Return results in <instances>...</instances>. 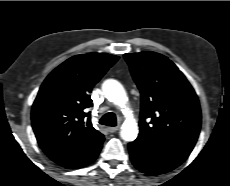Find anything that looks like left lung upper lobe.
<instances>
[{
	"label": "left lung upper lobe",
	"mask_w": 230,
	"mask_h": 186,
	"mask_svg": "<svg viewBox=\"0 0 230 186\" xmlns=\"http://www.w3.org/2000/svg\"><path fill=\"white\" fill-rule=\"evenodd\" d=\"M124 57L141 92L138 138L192 151L200 132L201 111L184 74L159 53H127Z\"/></svg>",
	"instance_id": "5c2ea615"
}]
</instances>
